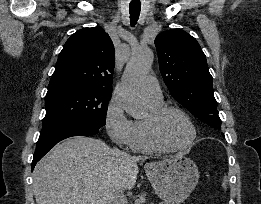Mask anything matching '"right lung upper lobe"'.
<instances>
[{"instance_id": "right-lung-upper-lobe-1", "label": "right lung upper lobe", "mask_w": 261, "mask_h": 204, "mask_svg": "<svg viewBox=\"0 0 261 204\" xmlns=\"http://www.w3.org/2000/svg\"><path fill=\"white\" fill-rule=\"evenodd\" d=\"M114 45L101 27L84 28L65 43L47 94L75 89L112 92Z\"/></svg>"}]
</instances>
